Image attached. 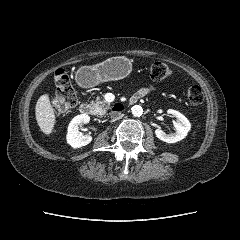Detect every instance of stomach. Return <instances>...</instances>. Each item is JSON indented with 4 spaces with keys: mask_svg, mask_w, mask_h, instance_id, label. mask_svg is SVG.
Instances as JSON below:
<instances>
[{
    "mask_svg": "<svg viewBox=\"0 0 240 240\" xmlns=\"http://www.w3.org/2000/svg\"><path fill=\"white\" fill-rule=\"evenodd\" d=\"M131 69L130 61L124 57H111L93 66H83L77 71L78 79L86 86H95L101 82L120 80Z\"/></svg>",
    "mask_w": 240,
    "mask_h": 240,
    "instance_id": "1",
    "label": "stomach"
}]
</instances>
